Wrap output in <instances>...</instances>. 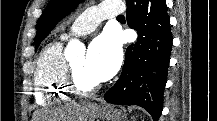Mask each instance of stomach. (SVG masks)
Returning a JSON list of instances; mask_svg holds the SVG:
<instances>
[{
    "label": "stomach",
    "mask_w": 217,
    "mask_h": 121,
    "mask_svg": "<svg viewBox=\"0 0 217 121\" xmlns=\"http://www.w3.org/2000/svg\"><path fill=\"white\" fill-rule=\"evenodd\" d=\"M119 116L120 112L111 105H96L95 118H99L102 121H115L118 120Z\"/></svg>",
    "instance_id": "0dacf381"
}]
</instances>
